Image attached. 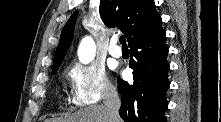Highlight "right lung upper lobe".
Returning <instances> with one entry per match:
<instances>
[{
  "label": "right lung upper lobe",
  "mask_w": 221,
  "mask_h": 122,
  "mask_svg": "<svg viewBox=\"0 0 221 122\" xmlns=\"http://www.w3.org/2000/svg\"><path fill=\"white\" fill-rule=\"evenodd\" d=\"M99 11L104 23L110 28H120L129 44L161 21L153 0H100ZM76 15L70 17L62 30L53 70H58L72 42Z\"/></svg>",
  "instance_id": "cb5924a9"
}]
</instances>
